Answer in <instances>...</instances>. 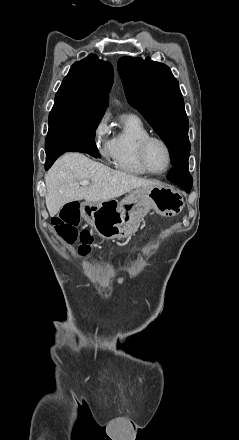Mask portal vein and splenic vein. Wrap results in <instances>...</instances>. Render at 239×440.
I'll return each instance as SVG.
<instances>
[{"instance_id": "portal-vein-and-splenic-vein-1", "label": "portal vein and splenic vein", "mask_w": 239, "mask_h": 440, "mask_svg": "<svg viewBox=\"0 0 239 440\" xmlns=\"http://www.w3.org/2000/svg\"><path fill=\"white\" fill-rule=\"evenodd\" d=\"M76 186H89V180H82V182H79Z\"/></svg>"}]
</instances>
